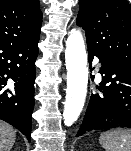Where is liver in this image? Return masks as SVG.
<instances>
[{"instance_id":"obj_1","label":"liver","mask_w":131,"mask_h":151,"mask_svg":"<svg viewBox=\"0 0 131 151\" xmlns=\"http://www.w3.org/2000/svg\"><path fill=\"white\" fill-rule=\"evenodd\" d=\"M16 133L11 126L0 121V151H10L15 143Z\"/></svg>"}]
</instances>
